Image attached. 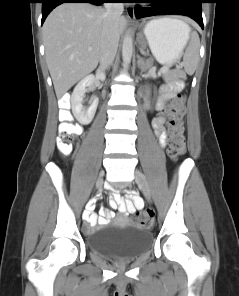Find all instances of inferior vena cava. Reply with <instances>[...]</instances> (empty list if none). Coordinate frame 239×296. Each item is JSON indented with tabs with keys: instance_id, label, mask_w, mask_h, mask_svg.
I'll list each match as a JSON object with an SVG mask.
<instances>
[{
	"instance_id": "602c4592",
	"label": "inferior vena cava",
	"mask_w": 239,
	"mask_h": 296,
	"mask_svg": "<svg viewBox=\"0 0 239 296\" xmlns=\"http://www.w3.org/2000/svg\"><path fill=\"white\" fill-rule=\"evenodd\" d=\"M104 7L107 24L103 29L100 47V70L108 69L115 58L119 43L117 22L124 10L123 3H105Z\"/></svg>"
}]
</instances>
